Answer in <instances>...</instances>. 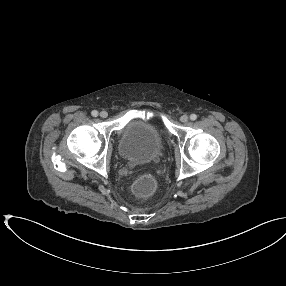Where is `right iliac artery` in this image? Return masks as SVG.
Masks as SVG:
<instances>
[{
  "mask_svg": "<svg viewBox=\"0 0 286 286\" xmlns=\"http://www.w3.org/2000/svg\"><path fill=\"white\" fill-rule=\"evenodd\" d=\"M91 114H92V116L96 117V116H98V111L93 110V111L91 112Z\"/></svg>",
  "mask_w": 286,
  "mask_h": 286,
  "instance_id": "obj_1",
  "label": "right iliac artery"
}]
</instances>
